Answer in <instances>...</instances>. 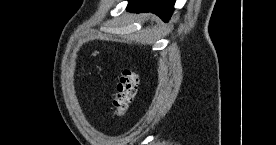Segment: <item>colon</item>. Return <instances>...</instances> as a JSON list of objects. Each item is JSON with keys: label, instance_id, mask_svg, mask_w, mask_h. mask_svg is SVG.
Masks as SVG:
<instances>
[{"label": "colon", "instance_id": "5ec220e1", "mask_svg": "<svg viewBox=\"0 0 276 145\" xmlns=\"http://www.w3.org/2000/svg\"><path fill=\"white\" fill-rule=\"evenodd\" d=\"M139 78L131 70H123L116 88L112 104L114 118H122L128 111L129 105L137 92Z\"/></svg>", "mask_w": 276, "mask_h": 145}]
</instances>
